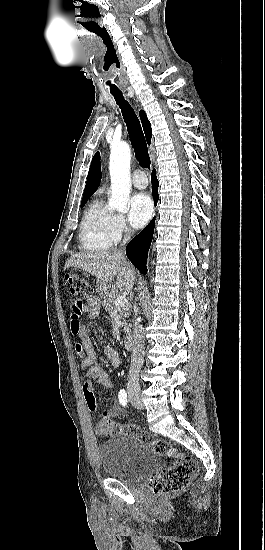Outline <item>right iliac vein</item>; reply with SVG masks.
Returning a JSON list of instances; mask_svg holds the SVG:
<instances>
[{
	"mask_svg": "<svg viewBox=\"0 0 265 550\" xmlns=\"http://www.w3.org/2000/svg\"><path fill=\"white\" fill-rule=\"evenodd\" d=\"M128 396H129V399H130L131 403L136 408H139V409L143 408V402H142V399L140 397V392H139L138 387L133 386V385L130 386L129 389H128Z\"/></svg>",
	"mask_w": 265,
	"mask_h": 550,
	"instance_id": "1",
	"label": "right iliac vein"
}]
</instances>
